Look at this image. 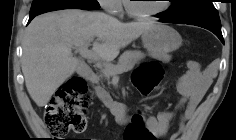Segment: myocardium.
I'll list each match as a JSON object with an SVG mask.
<instances>
[{
  "instance_id": "obj_1",
  "label": "myocardium",
  "mask_w": 236,
  "mask_h": 140,
  "mask_svg": "<svg viewBox=\"0 0 236 140\" xmlns=\"http://www.w3.org/2000/svg\"><path fill=\"white\" fill-rule=\"evenodd\" d=\"M166 3H164V5L155 10V11H151V12H139V11H136L132 5H131V0H126L125 2V9L127 11V13L133 17V18H137V19H149V18H152L154 16H157L163 12H165L167 9H169L170 7V4L168 1H165Z\"/></svg>"
}]
</instances>
